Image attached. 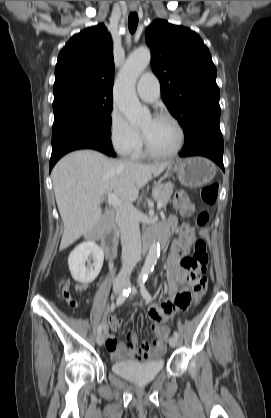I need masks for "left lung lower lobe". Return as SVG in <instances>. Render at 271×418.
Wrapping results in <instances>:
<instances>
[{"label":"left lung lower lobe","mask_w":271,"mask_h":418,"mask_svg":"<svg viewBox=\"0 0 271 418\" xmlns=\"http://www.w3.org/2000/svg\"><path fill=\"white\" fill-rule=\"evenodd\" d=\"M200 155L210 158L223 170V136L219 126H208L194 130L185 139L181 157Z\"/></svg>","instance_id":"1"}]
</instances>
